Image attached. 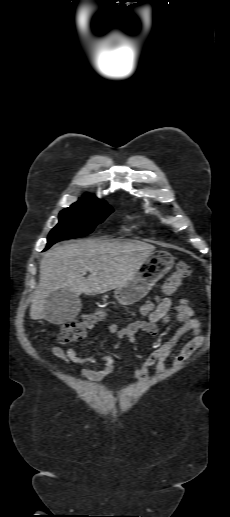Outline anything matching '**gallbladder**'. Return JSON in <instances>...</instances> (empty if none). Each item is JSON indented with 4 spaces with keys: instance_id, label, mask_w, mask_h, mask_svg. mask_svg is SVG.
<instances>
[{
    "instance_id": "obj_1",
    "label": "gallbladder",
    "mask_w": 230,
    "mask_h": 517,
    "mask_svg": "<svg viewBox=\"0 0 230 517\" xmlns=\"http://www.w3.org/2000/svg\"><path fill=\"white\" fill-rule=\"evenodd\" d=\"M78 296L67 289L54 291L46 299L44 311L46 319L53 324H61L74 319L81 309Z\"/></svg>"
}]
</instances>
